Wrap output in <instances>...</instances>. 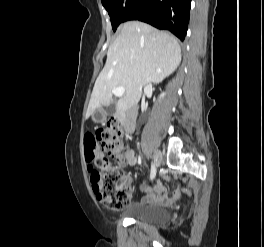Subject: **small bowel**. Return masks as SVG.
<instances>
[{"mask_svg": "<svg viewBox=\"0 0 264 247\" xmlns=\"http://www.w3.org/2000/svg\"><path fill=\"white\" fill-rule=\"evenodd\" d=\"M125 157L130 164L133 165L135 163L133 152L131 150H128L126 152ZM127 181L130 182L131 179L127 177ZM142 190L145 192L143 196V200L146 202H152V201L169 202L170 201V198L167 196L166 189L161 183H156L151 188L143 187Z\"/></svg>", "mask_w": 264, "mask_h": 247, "instance_id": "small-bowel-1", "label": "small bowel"}]
</instances>
